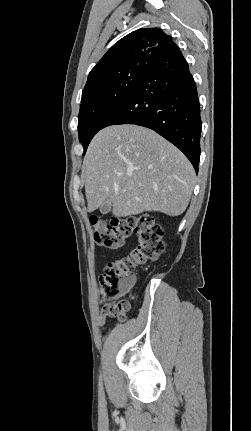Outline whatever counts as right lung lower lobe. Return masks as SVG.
<instances>
[{"instance_id": "right-lung-lower-lobe-1", "label": "right lung lower lobe", "mask_w": 251, "mask_h": 431, "mask_svg": "<svg viewBox=\"0 0 251 431\" xmlns=\"http://www.w3.org/2000/svg\"><path fill=\"white\" fill-rule=\"evenodd\" d=\"M117 124H135L156 131L178 147L198 172L200 104L196 83L180 50L150 55L141 80L103 128Z\"/></svg>"}]
</instances>
